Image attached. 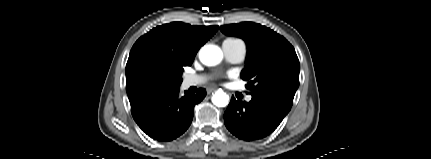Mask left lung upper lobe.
<instances>
[{
    "label": "left lung upper lobe",
    "instance_id": "5c2ea615",
    "mask_svg": "<svg viewBox=\"0 0 431 159\" xmlns=\"http://www.w3.org/2000/svg\"><path fill=\"white\" fill-rule=\"evenodd\" d=\"M220 29L247 44L241 78L248 81L246 88L252 96L273 97L292 106L300 71L293 46L270 28L252 22L223 25Z\"/></svg>",
    "mask_w": 431,
    "mask_h": 159
}]
</instances>
